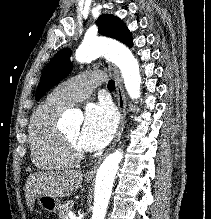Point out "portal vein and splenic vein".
Segmentation results:
<instances>
[{
	"label": "portal vein and splenic vein",
	"instance_id": "1",
	"mask_svg": "<svg viewBox=\"0 0 211 219\" xmlns=\"http://www.w3.org/2000/svg\"><path fill=\"white\" fill-rule=\"evenodd\" d=\"M65 219H69V217H68V216H66V217H65Z\"/></svg>",
	"mask_w": 211,
	"mask_h": 219
}]
</instances>
